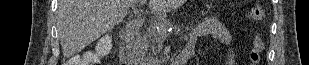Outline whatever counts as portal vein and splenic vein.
<instances>
[{"instance_id":"portal-vein-and-splenic-vein-1","label":"portal vein and splenic vein","mask_w":309,"mask_h":65,"mask_svg":"<svg viewBox=\"0 0 309 65\" xmlns=\"http://www.w3.org/2000/svg\"><path fill=\"white\" fill-rule=\"evenodd\" d=\"M145 1H142V3H144ZM157 28H160V29H163V30H165V26L164 25H162V26H157Z\"/></svg>"}]
</instances>
